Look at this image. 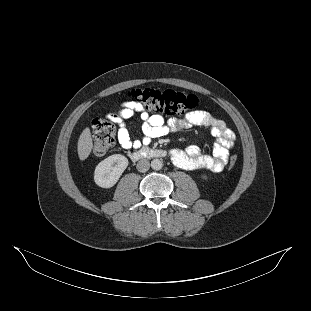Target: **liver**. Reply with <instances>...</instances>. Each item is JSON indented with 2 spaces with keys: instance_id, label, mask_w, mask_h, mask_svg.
<instances>
[{
  "instance_id": "obj_1",
  "label": "liver",
  "mask_w": 311,
  "mask_h": 311,
  "mask_svg": "<svg viewBox=\"0 0 311 311\" xmlns=\"http://www.w3.org/2000/svg\"><path fill=\"white\" fill-rule=\"evenodd\" d=\"M93 148V142L90 129L85 128L78 139V156L80 160H85L90 155Z\"/></svg>"
}]
</instances>
